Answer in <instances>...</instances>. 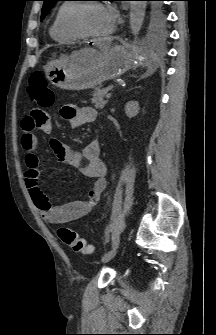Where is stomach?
<instances>
[{"label": "stomach", "mask_w": 216, "mask_h": 335, "mask_svg": "<svg viewBox=\"0 0 216 335\" xmlns=\"http://www.w3.org/2000/svg\"><path fill=\"white\" fill-rule=\"evenodd\" d=\"M81 55L90 62L79 65L76 58ZM146 58L140 51H131L122 45H114L101 52L85 48L62 56L44 67L46 78L56 87L66 90L99 88L105 81L120 77L133 67L144 65Z\"/></svg>", "instance_id": "obj_1"}]
</instances>
